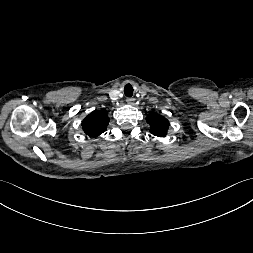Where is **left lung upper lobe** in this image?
I'll list each match as a JSON object with an SVG mask.
<instances>
[{"label":"left lung upper lobe","instance_id":"1","mask_svg":"<svg viewBox=\"0 0 253 253\" xmlns=\"http://www.w3.org/2000/svg\"><path fill=\"white\" fill-rule=\"evenodd\" d=\"M146 120L150 124V132L153 135L164 137L167 134L169 121L166 118L155 113H150Z\"/></svg>","mask_w":253,"mask_h":253}]
</instances>
